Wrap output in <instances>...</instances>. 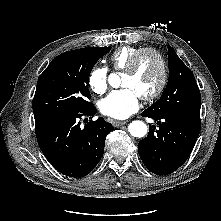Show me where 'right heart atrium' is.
I'll return each mask as SVG.
<instances>
[{
  "label": "right heart atrium",
  "instance_id": "1",
  "mask_svg": "<svg viewBox=\"0 0 221 221\" xmlns=\"http://www.w3.org/2000/svg\"><path fill=\"white\" fill-rule=\"evenodd\" d=\"M108 70L102 66L94 67L88 76V86L95 94H102L107 89Z\"/></svg>",
  "mask_w": 221,
  "mask_h": 221
}]
</instances>
